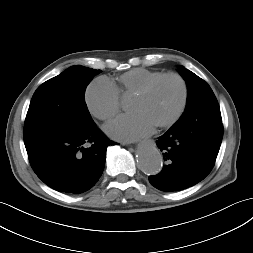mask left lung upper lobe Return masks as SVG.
<instances>
[{"instance_id": "obj_1", "label": "left lung upper lobe", "mask_w": 253, "mask_h": 253, "mask_svg": "<svg viewBox=\"0 0 253 253\" xmlns=\"http://www.w3.org/2000/svg\"><path fill=\"white\" fill-rule=\"evenodd\" d=\"M179 72L186 80L188 97L185 112L174 125L202 120L222 122L219 104L210 86L183 66H179Z\"/></svg>"}]
</instances>
